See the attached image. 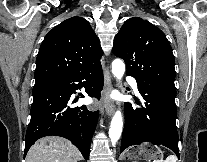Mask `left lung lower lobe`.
<instances>
[{"mask_svg":"<svg viewBox=\"0 0 207 162\" xmlns=\"http://www.w3.org/2000/svg\"><path fill=\"white\" fill-rule=\"evenodd\" d=\"M137 84L144 104L141 105L136 100L141 108H134L130 103L125 106L126 118L121 152L134 144L152 142L168 147L179 157L176 90L156 85H142L138 82Z\"/></svg>","mask_w":207,"mask_h":162,"instance_id":"0a47b994","label":"left lung lower lobe"}]
</instances>
